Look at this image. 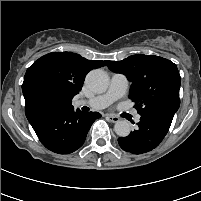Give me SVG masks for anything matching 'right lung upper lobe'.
<instances>
[{
	"instance_id": "1",
	"label": "right lung upper lobe",
	"mask_w": 201,
	"mask_h": 201,
	"mask_svg": "<svg viewBox=\"0 0 201 201\" xmlns=\"http://www.w3.org/2000/svg\"><path fill=\"white\" fill-rule=\"evenodd\" d=\"M72 52H52L36 60L26 71L22 91L25 109L36 104L71 107L87 73L106 65Z\"/></svg>"
}]
</instances>
